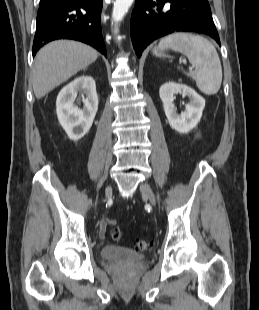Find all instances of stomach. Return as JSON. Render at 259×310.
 <instances>
[{
	"label": "stomach",
	"instance_id": "0dacf381",
	"mask_svg": "<svg viewBox=\"0 0 259 310\" xmlns=\"http://www.w3.org/2000/svg\"><path fill=\"white\" fill-rule=\"evenodd\" d=\"M164 50L165 49H159L156 47L153 49V54L156 56H165Z\"/></svg>",
	"mask_w": 259,
	"mask_h": 310
}]
</instances>
